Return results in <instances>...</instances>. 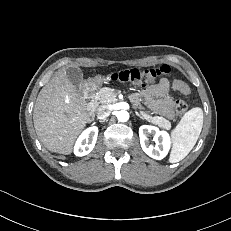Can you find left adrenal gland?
<instances>
[{
	"label": "left adrenal gland",
	"instance_id": "left-adrenal-gland-1",
	"mask_svg": "<svg viewBox=\"0 0 231 231\" xmlns=\"http://www.w3.org/2000/svg\"><path fill=\"white\" fill-rule=\"evenodd\" d=\"M135 114H136L139 118L144 119L137 111H135Z\"/></svg>",
	"mask_w": 231,
	"mask_h": 231
}]
</instances>
